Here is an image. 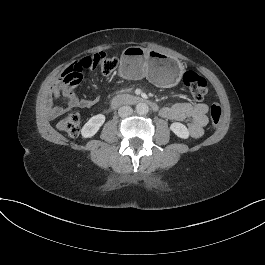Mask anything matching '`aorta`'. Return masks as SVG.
<instances>
[{"instance_id":"obj_1","label":"aorta","mask_w":265,"mask_h":265,"mask_svg":"<svg viewBox=\"0 0 265 265\" xmlns=\"http://www.w3.org/2000/svg\"><path fill=\"white\" fill-rule=\"evenodd\" d=\"M135 109L139 115H146L149 111V107L146 103H138Z\"/></svg>"}]
</instances>
